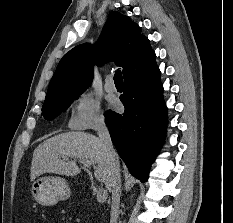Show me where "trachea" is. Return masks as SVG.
I'll return each instance as SVG.
<instances>
[{
	"label": "trachea",
	"instance_id": "trachea-1",
	"mask_svg": "<svg viewBox=\"0 0 233 223\" xmlns=\"http://www.w3.org/2000/svg\"><path fill=\"white\" fill-rule=\"evenodd\" d=\"M114 82L115 83H123V79H122V73L120 70H117L114 74Z\"/></svg>",
	"mask_w": 233,
	"mask_h": 223
}]
</instances>
